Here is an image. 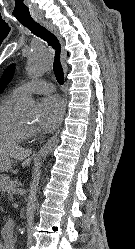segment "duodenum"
Returning a JSON list of instances; mask_svg holds the SVG:
<instances>
[{
	"instance_id": "410a0bca",
	"label": "duodenum",
	"mask_w": 135,
	"mask_h": 249,
	"mask_svg": "<svg viewBox=\"0 0 135 249\" xmlns=\"http://www.w3.org/2000/svg\"><path fill=\"white\" fill-rule=\"evenodd\" d=\"M8 246H10V244L9 243H5L4 245H3V249H6V248H8Z\"/></svg>"
}]
</instances>
